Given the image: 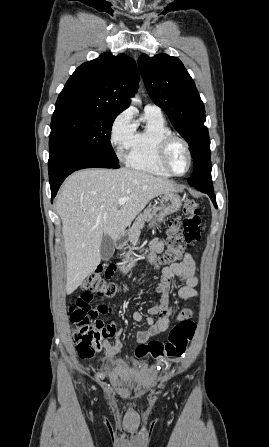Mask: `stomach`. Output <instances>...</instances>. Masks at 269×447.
I'll return each mask as SVG.
<instances>
[{
    "instance_id": "obj_1",
    "label": "stomach",
    "mask_w": 269,
    "mask_h": 447,
    "mask_svg": "<svg viewBox=\"0 0 269 447\" xmlns=\"http://www.w3.org/2000/svg\"><path fill=\"white\" fill-rule=\"evenodd\" d=\"M160 204H159V212L157 216H155L154 220H151L150 227L156 224V222H162L165 216H169V214H174V212H178L182 206V198L178 196V194H160L159 196ZM128 237H123L122 241H119L118 247L122 249L124 245H127Z\"/></svg>"
}]
</instances>
